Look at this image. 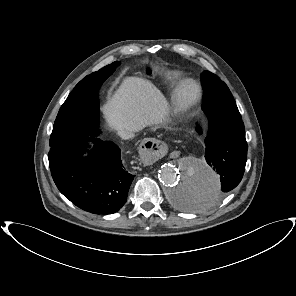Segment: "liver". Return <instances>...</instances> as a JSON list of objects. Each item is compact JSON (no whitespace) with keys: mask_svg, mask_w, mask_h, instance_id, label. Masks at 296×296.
Masks as SVG:
<instances>
[{"mask_svg":"<svg viewBox=\"0 0 296 296\" xmlns=\"http://www.w3.org/2000/svg\"><path fill=\"white\" fill-rule=\"evenodd\" d=\"M166 111L167 103L161 91L150 81L138 77L126 78L103 107L107 122L116 130L135 127L140 131L159 124Z\"/></svg>","mask_w":296,"mask_h":296,"instance_id":"liver-1","label":"liver"}]
</instances>
